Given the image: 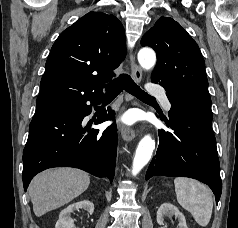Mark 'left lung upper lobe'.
Instances as JSON below:
<instances>
[{
    "label": "left lung upper lobe",
    "instance_id": "5c2ea615",
    "mask_svg": "<svg viewBox=\"0 0 238 228\" xmlns=\"http://www.w3.org/2000/svg\"><path fill=\"white\" fill-rule=\"evenodd\" d=\"M141 45L155 50L157 65L151 80L165 88L169 99L212 115L204 59L178 22L160 17L143 36Z\"/></svg>",
    "mask_w": 238,
    "mask_h": 228
}]
</instances>
